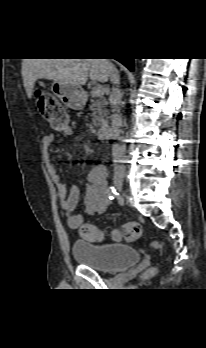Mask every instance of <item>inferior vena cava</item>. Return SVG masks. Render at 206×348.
<instances>
[{
	"instance_id": "inferior-vena-cava-1",
	"label": "inferior vena cava",
	"mask_w": 206,
	"mask_h": 348,
	"mask_svg": "<svg viewBox=\"0 0 206 348\" xmlns=\"http://www.w3.org/2000/svg\"><path fill=\"white\" fill-rule=\"evenodd\" d=\"M110 81L112 83V89L109 96L111 107V121H112V137L115 142L112 147V156L115 162H120L125 157L126 146L122 142L124 131L122 129L123 122L120 113V104L122 99V91L120 89V77L117 69L114 65L111 66Z\"/></svg>"
}]
</instances>
